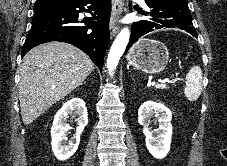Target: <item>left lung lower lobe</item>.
Wrapping results in <instances>:
<instances>
[{
	"label": "left lung lower lobe",
	"mask_w": 227,
	"mask_h": 166,
	"mask_svg": "<svg viewBox=\"0 0 227 166\" xmlns=\"http://www.w3.org/2000/svg\"><path fill=\"white\" fill-rule=\"evenodd\" d=\"M145 2L151 11L141 14H149L150 18L132 24L126 52L141 36L157 29L180 28L197 38L187 0H145Z\"/></svg>",
	"instance_id": "1"
}]
</instances>
